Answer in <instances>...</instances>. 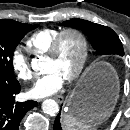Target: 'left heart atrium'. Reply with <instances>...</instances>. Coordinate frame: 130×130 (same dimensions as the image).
Instances as JSON below:
<instances>
[{
	"label": "left heart atrium",
	"mask_w": 130,
	"mask_h": 130,
	"mask_svg": "<svg viewBox=\"0 0 130 130\" xmlns=\"http://www.w3.org/2000/svg\"><path fill=\"white\" fill-rule=\"evenodd\" d=\"M64 81L62 74L56 70H50L34 83L28 94L35 99L51 96L62 88Z\"/></svg>",
	"instance_id": "1"
}]
</instances>
